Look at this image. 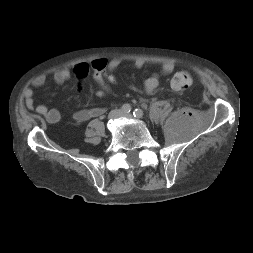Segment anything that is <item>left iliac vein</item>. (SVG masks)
I'll return each mask as SVG.
<instances>
[{
  "instance_id": "1",
  "label": "left iliac vein",
  "mask_w": 253,
  "mask_h": 253,
  "mask_svg": "<svg viewBox=\"0 0 253 253\" xmlns=\"http://www.w3.org/2000/svg\"><path fill=\"white\" fill-rule=\"evenodd\" d=\"M124 116L127 117V118H132V114L127 113V114H124Z\"/></svg>"
}]
</instances>
